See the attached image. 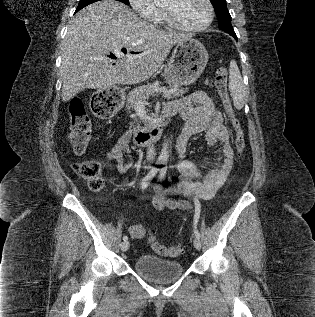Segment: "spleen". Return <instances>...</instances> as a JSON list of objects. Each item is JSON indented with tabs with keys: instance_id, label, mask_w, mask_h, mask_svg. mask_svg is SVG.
Instances as JSON below:
<instances>
[{
	"instance_id": "obj_1",
	"label": "spleen",
	"mask_w": 315,
	"mask_h": 317,
	"mask_svg": "<svg viewBox=\"0 0 315 317\" xmlns=\"http://www.w3.org/2000/svg\"><path fill=\"white\" fill-rule=\"evenodd\" d=\"M229 90L233 97L234 107L242 109L246 99V88L240 74L236 61H230L229 69Z\"/></svg>"
}]
</instances>
